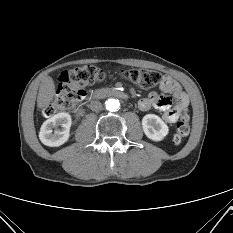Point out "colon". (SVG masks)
<instances>
[{
  "label": "colon",
  "instance_id": "5ec220e1",
  "mask_svg": "<svg viewBox=\"0 0 233 233\" xmlns=\"http://www.w3.org/2000/svg\"><path fill=\"white\" fill-rule=\"evenodd\" d=\"M119 76L138 87L152 88L158 85L162 76L159 72L146 69H122ZM108 73L96 66L87 65L65 70L60 75V85L53 101L43 110L45 117H51L60 111L73 109L83 98L85 88L103 82ZM190 125L188 115H184L177 124L173 134V142L179 144L189 133Z\"/></svg>",
  "mask_w": 233,
  "mask_h": 233
}]
</instances>
